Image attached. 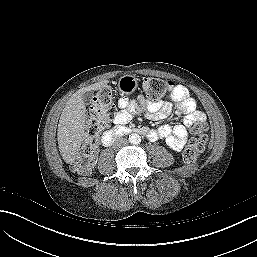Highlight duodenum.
I'll return each mask as SVG.
<instances>
[{
    "label": "duodenum",
    "mask_w": 257,
    "mask_h": 257,
    "mask_svg": "<svg viewBox=\"0 0 257 257\" xmlns=\"http://www.w3.org/2000/svg\"><path fill=\"white\" fill-rule=\"evenodd\" d=\"M130 133L148 135L149 129L146 127L128 128L123 125H116L109 129L103 136V143L106 146L111 145L117 138Z\"/></svg>",
    "instance_id": "1"
}]
</instances>
